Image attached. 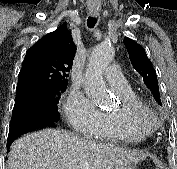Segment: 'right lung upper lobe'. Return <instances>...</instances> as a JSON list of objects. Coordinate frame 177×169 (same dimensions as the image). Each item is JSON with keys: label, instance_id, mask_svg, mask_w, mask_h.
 Instances as JSON below:
<instances>
[{"label": "right lung upper lobe", "instance_id": "right-lung-upper-lobe-1", "mask_svg": "<svg viewBox=\"0 0 177 169\" xmlns=\"http://www.w3.org/2000/svg\"><path fill=\"white\" fill-rule=\"evenodd\" d=\"M75 52L71 32L64 25L45 35L26 52L16 96L66 87Z\"/></svg>", "mask_w": 177, "mask_h": 169}]
</instances>
